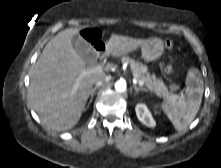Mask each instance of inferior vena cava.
<instances>
[{
	"label": "inferior vena cava",
	"mask_w": 221,
	"mask_h": 168,
	"mask_svg": "<svg viewBox=\"0 0 221 168\" xmlns=\"http://www.w3.org/2000/svg\"><path fill=\"white\" fill-rule=\"evenodd\" d=\"M108 77L107 76H101V77H99V78H97V80H96V86H101V85H103V84H105L106 82H108Z\"/></svg>",
	"instance_id": "inferior-vena-cava-1"
}]
</instances>
